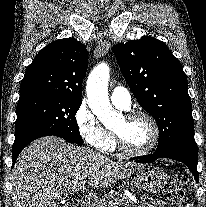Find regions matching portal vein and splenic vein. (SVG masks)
I'll list each match as a JSON object with an SVG mask.
<instances>
[{
  "label": "portal vein and splenic vein",
  "mask_w": 206,
  "mask_h": 207,
  "mask_svg": "<svg viewBox=\"0 0 206 207\" xmlns=\"http://www.w3.org/2000/svg\"><path fill=\"white\" fill-rule=\"evenodd\" d=\"M83 185H84V183L75 186V187L72 189V191H73V192L80 191V190L83 188Z\"/></svg>",
  "instance_id": "18ae733b"
}]
</instances>
